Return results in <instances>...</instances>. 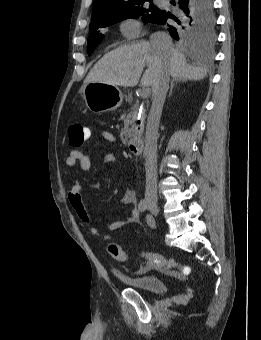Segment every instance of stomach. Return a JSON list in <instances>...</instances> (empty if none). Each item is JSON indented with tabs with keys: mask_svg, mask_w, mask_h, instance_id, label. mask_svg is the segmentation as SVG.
<instances>
[{
	"mask_svg": "<svg viewBox=\"0 0 261 340\" xmlns=\"http://www.w3.org/2000/svg\"><path fill=\"white\" fill-rule=\"evenodd\" d=\"M83 97L93 113L114 111L123 101V94L117 86L100 82L84 85Z\"/></svg>",
	"mask_w": 261,
	"mask_h": 340,
	"instance_id": "obj_1",
	"label": "stomach"
}]
</instances>
